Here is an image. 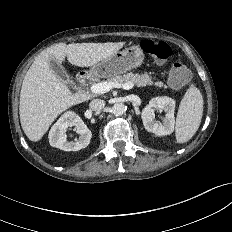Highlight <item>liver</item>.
Here are the masks:
<instances>
[{"label": "liver", "instance_id": "6515ba94", "mask_svg": "<svg viewBox=\"0 0 232 232\" xmlns=\"http://www.w3.org/2000/svg\"><path fill=\"white\" fill-rule=\"evenodd\" d=\"M125 42L55 44L41 52L27 71L20 93V122L29 140L39 141L52 122L69 107L88 100L86 94H72L49 66L55 58L79 67H90L108 59Z\"/></svg>", "mask_w": 232, "mask_h": 232}]
</instances>
